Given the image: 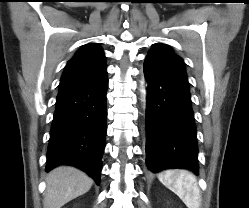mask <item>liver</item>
Here are the masks:
<instances>
[{"label": "liver", "mask_w": 249, "mask_h": 208, "mask_svg": "<svg viewBox=\"0 0 249 208\" xmlns=\"http://www.w3.org/2000/svg\"><path fill=\"white\" fill-rule=\"evenodd\" d=\"M45 208H61L88 192L93 180L84 172L70 166L53 169L46 177Z\"/></svg>", "instance_id": "1"}]
</instances>
